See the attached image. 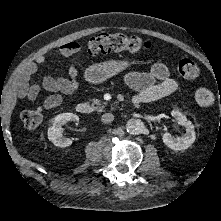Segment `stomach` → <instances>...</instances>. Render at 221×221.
Here are the masks:
<instances>
[{"label":"stomach","mask_w":221,"mask_h":221,"mask_svg":"<svg viewBox=\"0 0 221 221\" xmlns=\"http://www.w3.org/2000/svg\"><path fill=\"white\" fill-rule=\"evenodd\" d=\"M131 66L128 60H107L89 66L84 78L91 84H100Z\"/></svg>","instance_id":"obj_1"}]
</instances>
